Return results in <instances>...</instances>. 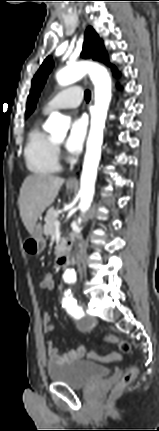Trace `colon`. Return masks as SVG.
<instances>
[{"instance_id":"colon-1","label":"colon","mask_w":159,"mask_h":431,"mask_svg":"<svg viewBox=\"0 0 159 431\" xmlns=\"http://www.w3.org/2000/svg\"><path fill=\"white\" fill-rule=\"evenodd\" d=\"M46 271L51 272V277L49 278L50 283L48 287V292L51 295H54V292L56 291V283L55 279L52 277L53 271L52 269H47ZM106 340L110 343H115L118 345L119 349L123 353H128L131 349L130 344L127 341L119 340L113 335H108L106 337ZM86 356L90 359L97 360V363H120L121 359H124V354H107V357L105 354H101V356L97 355L93 352H87ZM137 376V369L136 368H130L124 376L121 378L119 383L116 386V391H120L124 389L127 385H129Z\"/></svg>"}]
</instances>
